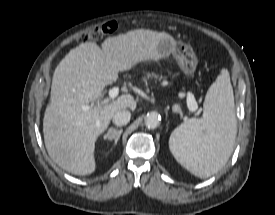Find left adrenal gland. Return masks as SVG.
Segmentation results:
<instances>
[{
  "label": "left adrenal gland",
  "instance_id": "1",
  "mask_svg": "<svg viewBox=\"0 0 275 215\" xmlns=\"http://www.w3.org/2000/svg\"><path fill=\"white\" fill-rule=\"evenodd\" d=\"M172 111H173V113L180 114V116L182 115L181 108L178 104H175L172 107Z\"/></svg>",
  "mask_w": 275,
  "mask_h": 215
}]
</instances>
